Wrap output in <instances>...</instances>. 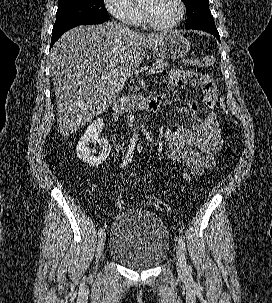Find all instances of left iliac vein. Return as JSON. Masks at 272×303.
Segmentation results:
<instances>
[{
    "label": "left iliac vein",
    "mask_w": 272,
    "mask_h": 303,
    "mask_svg": "<svg viewBox=\"0 0 272 303\" xmlns=\"http://www.w3.org/2000/svg\"><path fill=\"white\" fill-rule=\"evenodd\" d=\"M175 250L178 273L180 276H186L188 274V267L184 250L180 244L176 245Z\"/></svg>",
    "instance_id": "left-iliac-vein-1"
}]
</instances>
